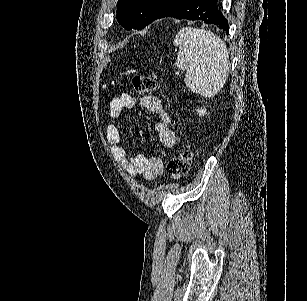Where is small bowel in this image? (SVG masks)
Masks as SVG:
<instances>
[{"mask_svg": "<svg viewBox=\"0 0 307 301\" xmlns=\"http://www.w3.org/2000/svg\"><path fill=\"white\" fill-rule=\"evenodd\" d=\"M136 103L137 100L134 96L122 93L110 100V116L119 119L124 110L132 109ZM139 104L156 115L155 130L163 151L171 149L175 144V135L170 128V116L164 109L161 100L156 96L148 95L141 97ZM105 132L112 156L129 175L133 177L143 175L147 180H154L164 173L163 155L154 158H147L142 154L130 155L121 145V134L116 125L108 124Z\"/></svg>", "mask_w": 307, "mask_h": 301, "instance_id": "1", "label": "small bowel"}]
</instances>
